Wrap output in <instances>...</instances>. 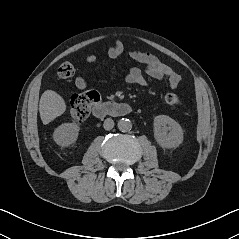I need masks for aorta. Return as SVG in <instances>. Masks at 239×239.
I'll return each instance as SVG.
<instances>
[{
  "label": "aorta",
  "mask_w": 239,
  "mask_h": 239,
  "mask_svg": "<svg viewBox=\"0 0 239 239\" xmlns=\"http://www.w3.org/2000/svg\"><path fill=\"white\" fill-rule=\"evenodd\" d=\"M118 129L121 132H128L132 129V122L127 118H122L118 121Z\"/></svg>",
  "instance_id": "obj_1"
}]
</instances>
